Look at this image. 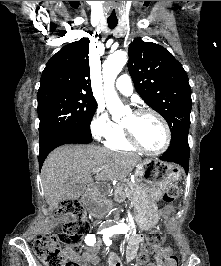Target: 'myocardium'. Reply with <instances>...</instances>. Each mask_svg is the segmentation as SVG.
Segmentation results:
<instances>
[{
    "label": "myocardium",
    "instance_id": "obj_1",
    "mask_svg": "<svg viewBox=\"0 0 221 266\" xmlns=\"http://www.w3.org/2000/svg\"><path fill=\"white\" fill-rule=\"evenodd\" d=\"M133 114L136 116L143 115V114H151L155 116L160 121L161 125L163 126V129L165 132V138L160 148L155 149V150H150V149L145 148L139 142V140L135 136L132 129L122 125L126 139L130 143V145L133 146L135 149L139 150L140 152L145 153L147 155L155 156V155H160L164 153L168 149L170 142H171V131L165 118L160 113H158L157 111L151 108H140V109L135 110Z\"/></svg>",
    "mask_w": 221,
    "mask_h": 266
}]
</instances>
